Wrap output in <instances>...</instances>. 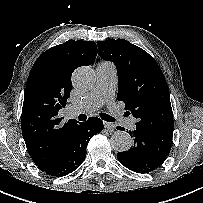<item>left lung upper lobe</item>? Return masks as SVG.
I'll return each mask as SVG.
<instances>
[{
	"mask_svg": "<svg viewBox=\"0 0 203 203\" xmlns=\"http://www.w3.org/2000/svg\"><path fill=\"white\" fill-rule=\"evenodd\" d=\"M98 54L118 73L117 99L125 103L136 127L173 135V113L165 77L155 59L124 39L97 42Z\"/></svg>",
	"mask_w": 203,
	"mask_h": 203,
	"instance_id": "5c2ea615",
	"label": "left lung upper lobe"
}]
</instances>
